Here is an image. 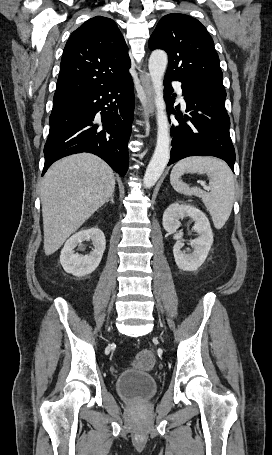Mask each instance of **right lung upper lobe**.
Segmentation results:
<instances>
[{
  "mask_svg": "<svg viewBox=\"0 0 272 455\" xmlns=\"http://www.w3.org/2000/svg\"><path fill=\"white\" fill-rule=\"evenodd\" d=\"M131 60L116 23L96 16L69 37L61 59L53 103L120 81Z\"/></svg>",
  "mask_w": 272,
  "mask_h": 455,
  "instance_id": "right-lung-upper-lobe-1",
  "label": "right lung upper lobe"
}]
</instances>
